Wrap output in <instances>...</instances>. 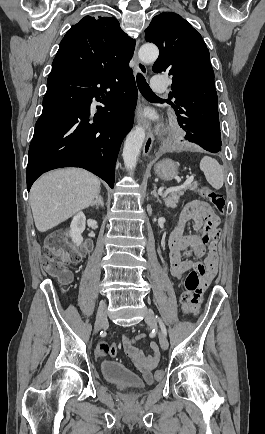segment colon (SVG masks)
<instances>
[{
  "label": "colon",
  "mask_w": 265,
  "mask_h": 434,
  "mask_svg": "<svg viewBox=\"0 0 265 434\" xmlns=\"http://www.w3.org/2000/svg\"><path fill=\"white\" fill-rule=\"evenodd\" d=\"M201 193L210 201L217 212L224 213L225 199L220 192L203 187ZM77 260L78 254L69 250L61 234L54 235L47 240L42 268L47 276L57 277L62 286H67L71 283L73 275L67 265ZM202 279L199 278V270H193V268L188 270V278H184L185 291L181 295V303L187 315L191 314L192 293H195V287L199 286ZM96 353L98 357L116 356L118 348L106 341H102L98 344ZM154 375L155 378H160L163 375V369H157Z\"/></svg>",
  "instance_id": "5ec220e1"
}]
</instances>
